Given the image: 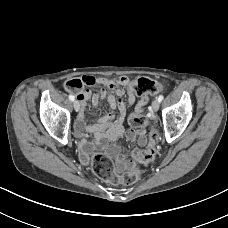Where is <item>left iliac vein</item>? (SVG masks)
I'll return each mask as SVG.
<instances>
[{
	"mask_svg": "<svg viewBox=\"0 0 228 228\" xmlns=\"http://www.w3.org/2000/svg\"><path fill=\"white\" fill-rule=\"evenodd\" d=\"M160 106V102L158 101V99L154 100L152 102V109L154 112H157Z\"/></svg>",
	"mask_w": 228,
	"mask_h": 228,
	"instance_id": "4c4485c4",
	"label": "left iliac vein"
}]
</instances>
